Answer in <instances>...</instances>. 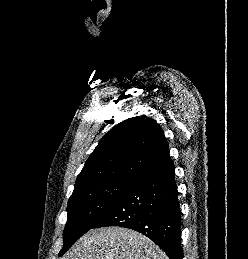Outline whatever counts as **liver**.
I'll list each match as a JSON object with an SVG mask.
<instances>
[{"mask_svg":"<svg viewBox=\"0 0 248 259\" xmlns=\"http://www.w3.org/2000/svg\"><path fill=\"white\" fill-rule=\"evenodd\" d=\"M63 259H168L149 238L118 226L92 229Z\"/></svg>","mask_w":248,"mask_h":259,"instance_id":"obj_1","label":"liver"}]
</instances>
